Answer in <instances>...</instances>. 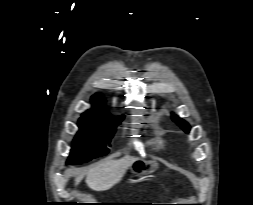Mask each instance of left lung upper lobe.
I'll return each mask as SVG.
<instances>
[{
    "label": "left lung upper lobe",
    "mask_w": 253,
    "mask_h": 205,
    "mask_svg": "<svg viewBox=\"0 0 253 205\" xmlns=\"http://www.w3.org/2000/svg\"><path fill=\"white\" fill-rule=\"evenodd\" d=\"M172 119H173V121L176 122L186 133H189V131H190V126H189V124H188L186 121L182 120L181 118H179V117L176 116V115H173V116H172Z\"/></svg>",
    "instance_id": "left-lung-upper-lobe-1"
}]
</instances>
